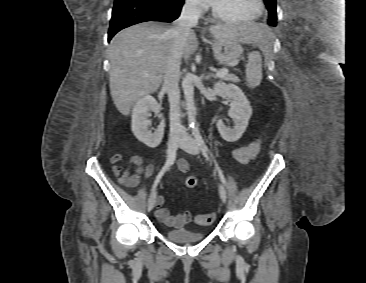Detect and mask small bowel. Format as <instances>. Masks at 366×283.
I'll use <instances>...</instances> for the list:
<instances>
[{
  "label": "small bowel",
  "mask_w": 366,
  "mask_h": 283,
  "mask_svg": "<svg viewBox=\"0 0 366 283\" xmlns=\"http://www.w3.org/2000/svg\"><path fill=\"white\" fill-rule=\"evenodd\" d=\"M259 150V142L255 141L248 145L237 147L233 150V158L240 164H247L252 161ZM111 161L113 163L112 171L118 178L120 184L128 189L136 187L140 181L141 176L149 178L154 171L152 164L144 166L143 159L134 155L129 160V166L123 167L122 155L116 154L112 156ZM178 169L180 172L185 173L189 169V165L186 160L180 159L178 161ZM165 199L163 196H159L156 202V216L157 218L170 227L179 228L182 227L190 218L189 213H180L172 215L167 208L164 207Z\"/></svg>",
  "instance_id": "obj_1"
}]
</instances>
